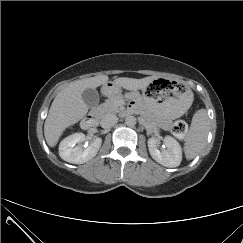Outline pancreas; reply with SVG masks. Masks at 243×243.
<instances>
[{
	"label": "pancreas",
	"mask_w": 243,
	"mask_h": 243,
	"mask_svg": "<svg viewBox=\"0 0 243 243\" xmlns=\"http://www.w3.org/2000/svg\"><path fill=\"white\" fill-rule=\"evenodd\" d=\"M120 97H113L111 99H108L105 103L101 104L97 108V112L100 115H105L107 113H118L119 112V101ZM143 116L150 122L156 124L160 128L164 130L170 129L171 122L170 121H165L162 119H159L155 117L152 113L147 112L145 110L142 111Z\"/></svg>",
	"instance_id": "pancreas-1"
}]
</instances>
